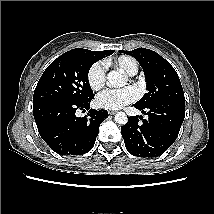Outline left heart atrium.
I'll list each match as a JSON object with an SVG mask.
<instances>
[{
	"mask_svg": "<svg viewBox=\"0 0 214 214\" xmlns=\"http://www.w3.org/2000/svg\"><path fill=\"white\" fill-rule=\"evenodd\" d=\"M137 99V91L133 87L119 90L108 89L100 93L96 103L100 108L117 110Z\"/></svg>",
	"mask_w": 214,
	"mask_h": 214,
	"instance_id": "39dd6f15",
	"label": "left heart atrium"
}]
</instances>
